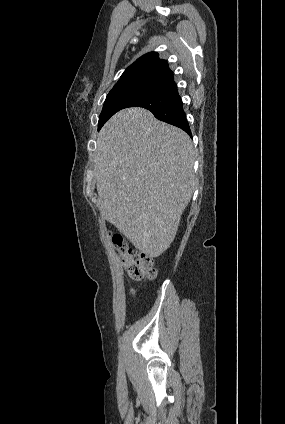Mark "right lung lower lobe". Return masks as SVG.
<instances>
[{
    "mask_svg": "<svg viewBox=\"0 0 285 424\" xmlns=\"http://www.w3.org/2000/svg\"><path fill=\"white\" fill-rule=\"evenodd\" d=\"M127 107L148 109L157 119L179 127L191 136V130L183 110V103L174 81L165 84L150 95L132 101Z\"/></svg>",
    "mask_w": 285,
    "mask_h": 424,
    "instance_id": "obj_1",
    "label": "right lung lower lobe"
}]
</instances>
